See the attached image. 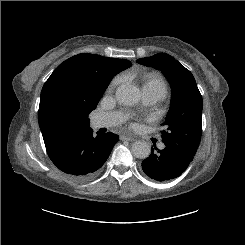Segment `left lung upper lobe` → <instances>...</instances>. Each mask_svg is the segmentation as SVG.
Here are the masks:
<instances>
[{
	"label": "left lung upper lobe",
	"instance_id": "left-lung-upper-lobe-1",
	"mask_svg": "<svg viewBox=\"0 0 245 245\" xmlns=\"http://www.w3.org/2000/svg\"><path fill=\"white\" fill-rule=\"evenodd\" d=\"M137 62L162 69L171 82L173 97L162 124V142L180 145L195 154L202 134V96L189 70L165 53H158Z\"/></svg>",
	"mask_w": 245,
	"mask_h": 245
}]
</instances>
